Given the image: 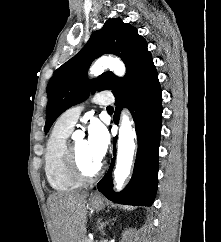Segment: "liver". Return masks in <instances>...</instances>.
I'll return each mask as SVG.
<instances>
[{
    "instance_id": "1",
    "label": "liver",
    "mask_w": 221,
    "mask_h": 242,
    "mask_svg": "<svg viewBox=\"0 0 221 242\" xmlns=\"http://www.w3.org/2000/svg\"><path fill=\"white\" fill-rule=\"evenodd\" d=\"M87 192L54 193L48 198L53 242H83L86 233Z\"/></svg>"
}]
</instances>
